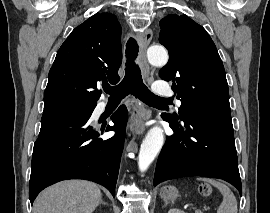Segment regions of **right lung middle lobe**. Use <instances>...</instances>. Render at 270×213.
I'll return each instance as SVG.
<instances>
[{
  "mask_svg": "<svg viewBox=\"0 0 270 213\" xmlns=\"http://www.w3.org/2000/svg\"><path fill=\"white\" fill-rule=\"evenodd\" d=\"M95 106L96 104L93 103L66 101L45 106L43 114H50V113L88 114L94 110Z\"/></svg>",
  "mask_w": 270,
  "mask_h": 213,
  "instance_id": "right-lung-middle-lobe-1",
  "label": "right lung middle lobe"
}]
</instances>
